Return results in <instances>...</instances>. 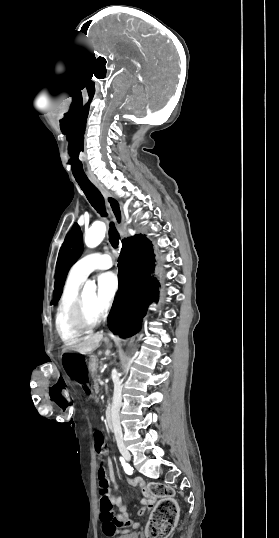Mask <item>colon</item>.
Wrapping results in <instances>:
<instances>
[{
  "label": "colon",
  "mask_w": 279,
  "mask_h": 538,
  "mask_svg": "<svg viewBox=\"0 0 279 538\" xmlns=\"http://www.w3.org/2000/svg\"><path fill=\"white\" fill-rule=\"evenodd\" d=\"M94 445L97 454L104 457L107 452L106 440L104 435L99 431L94 433ZM97 475L101 515L111 518L114 514L105 469L100 467ZM149 489L151 493L160 500L157 503L151 521L147 526L146 535L147 538H165L174 529L178 519V507L174 500V490L171 487L160 483L150 484Z\"/></svg>",
  "instance_id": "5ec220e1"
}]
</instances>
